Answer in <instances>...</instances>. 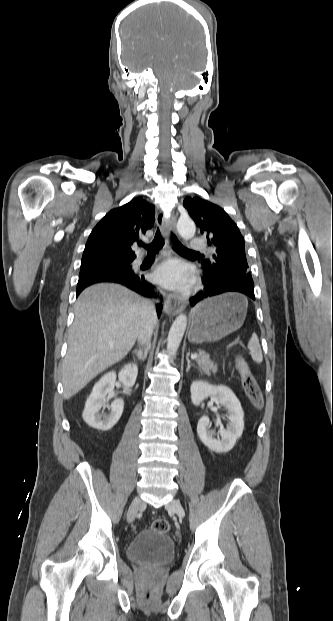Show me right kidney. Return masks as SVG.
Wrapping results in <instances>:
<instances>
[{
	"mask_svg": "<svg viewBox=\"0 0 333 621\" xmlns=\"http://www.w3.org/2000/svg\"><path fill=\"white\" fill-rule=\"evenodd\" d=\"M138 374V367L134 363L125 365L119 372V381L130 388L135 384ZM116 381V373L105 374L93 387L90 396L87 398L82 414L83 420L90 426L101 431L110 430L120 419L123 408V399H116L110 405V413L102 415L100 410L107 405L106 397L113 391Z\"/></svg>",
	"mask_w": 333,
	"mask_h": 621,
	"instance_id": "1",
	"label": "right kidney"
}]
</instances>
